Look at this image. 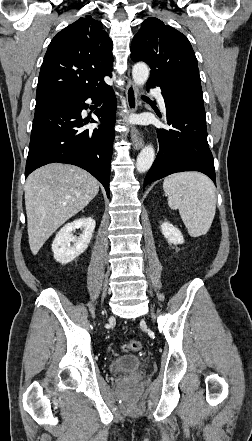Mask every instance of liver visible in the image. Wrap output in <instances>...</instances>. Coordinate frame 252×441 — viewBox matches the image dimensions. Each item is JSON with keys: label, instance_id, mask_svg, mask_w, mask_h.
I'll list each match as a JSON object with an SVG mask.
<instances>
[{"label": "liver", "instance_id": "obj_1", "mask_svg": "<svg viewBox=\"0 0 252 441\" xmlns=\"http://www.w3.org/2000/svg\"><path fill=\"white\" fill-rule=\"evenodd\" d=\"M24 190L29 246L36 255L62 224L93 200L99 183L77 166L52 163L31 173Z\"/></svg>", "mask_w": 252, "mask_h": 441}]
</instances>
